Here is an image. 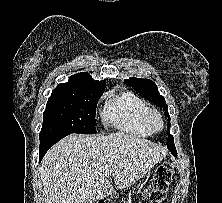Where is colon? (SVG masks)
<instances>
[{
    "label": "colon",
    "instance_id": "5ec220e1",
    "mask_svg": "<svg viewBox=\"0 0 222 203\" xmlns=\"http://www.w3.org/2000/svg\"><path fill=\"white\" fill-rule=\"evenodd\" d=\"M173 175L174 166L171 163H164L158 167L152 179L151 187L146 193L150 203H162Z\"/></svg>",
    "mask_w": 222,
    "mask_h": 203
}]
</instances>
